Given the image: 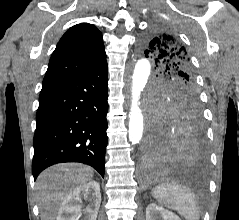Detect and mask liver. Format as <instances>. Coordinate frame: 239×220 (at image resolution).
<instances>
[{
    "instance_id": "obj_1",
    "label": "liver",
    "mask_w": 239,
    "mask_h": 220,
    "mask_svg": "<svg viewBox=\"0 0 239 220\" xmlns=\"http://www.w3.org/2000/svg\"><path fill=\"white\" fill-rule=\"evenodd\" d=\"M93 175L90 167L77 163L58 164L43 171L36 182L41 220H55L67 195L91 181Z\"/></svg>"
}]
</instances>
